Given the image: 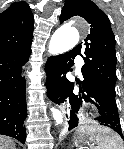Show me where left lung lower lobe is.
Returning <instances> with one entry per match:
<instances>
[{
  "instance_id": "obj_1",
  "label": "left lung lower lobe",
  "mask_w": 124,
  "mask_h": 149,
  "mask_svg": "<svg viewBox=\"0 0 124 149\" xmlns=\"http://www.w3.org/2000/svg\"><path fill=\"white\" fill-rule=\"evenodd\" d=\"M76 54L71 50L67 53L50 57L45 65L47 74L46 88L49 99L69 110V130L78 125L77 112L82 105L81 97L73 94L74 84L66 75L72 72ZM82 71V79H77L80 93L86 102L97 107L99 116L95 118L103 126H106L124 140L120 125L118 109L115 101V94L106 87L89 80Z\"/></svg>"
}]
</instances>
